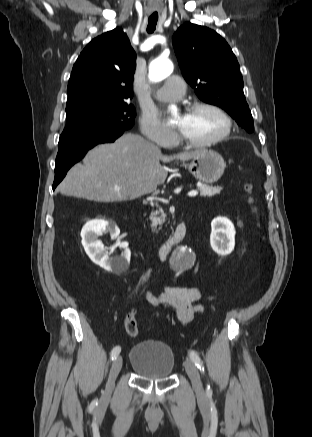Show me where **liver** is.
Segmentation results:
<instances>
[{"instance_id": "1", "label": "liver", "mask_w": 312, "mask_h": 437, "mask_svg": "<svg viewBox=\"0 0 312 437\" xmlns=\"http://www.w3.org/2000/svg\"><path fill=\"white\" fill-rule=\"evenodd\" d=\"M199 150L163 155L154 144L127 133L111 144H100L76 164L58 187L61 194L95 202H121L154 192L168 172L160 164L190 160ZM120 187V190L115 188Z\"/></svg>"}]
</instances>
